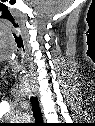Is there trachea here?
<instances>
[{
	"instance_id": "obj_1",
	"label": "trachea",
	"mask_w": 95,
	"mask_h": 126,
	"mask_svg": "<svg viewBox=\"0 0 95 126\" xmlns=\"http://www.w3.org/2000/svg\"><path fill=\"white\" fill-rule=\"evenodd\" d=\"M31 105H32V111L35 118V122H36L35 124H38V125L43 124L41 108H40L37 98L31 97Z\"/></svg>"
}]
</instances>
